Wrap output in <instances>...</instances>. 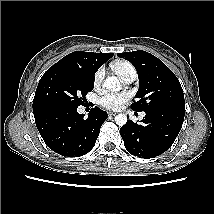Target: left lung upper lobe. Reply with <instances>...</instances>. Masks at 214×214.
Wrapping results in <instances>:
<instances>
[{
	"instance_id": "left-lung-upper-lobe-1",
	"label": "left lung upper lobe",
	"mask_w": 214,
	"mask_h": 214,
	"mask_svg": "<svg viewBox=\"0 0 214 214\" xmlns=\"http://www.w3.org/2000/svg\"><path fill=\"white\" fill-rule=\"evenodd\" d=\"M117 55L130 61L138 72L140 84L136 94L138 101L131 105L134 111L163 109L185 112L180 82L161 60L142 50Z\"/></svg>"
}]
</instances>
